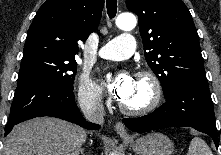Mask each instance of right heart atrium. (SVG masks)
I'll return each instance as SVG.
<instances>
[{
	"mask_svg": "<svg viewBox=\"0 0 221 155\" xmlns=\"http://www.w3.org/2000/svg\"><path fill=\"white\" fill-rule=\"evenodd\" d=\"M79 102L88 107L100 106L103 103V93L89 74H82L77 88Z\"/></svg>",
	"mask_w": 221,
	"mask_h": 155,
	"instance_id": "d8ad5b80",
	"label": "right heart atrium"
}]
</instances>
